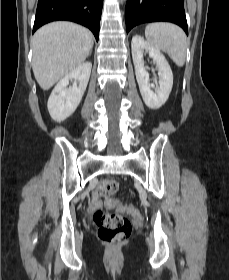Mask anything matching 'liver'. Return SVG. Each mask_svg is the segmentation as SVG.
I'll return each mask as SVG.
<instances>
[{
  "mask_svg": "<svg viewBox=\"0 0 229 280\" xmlns=\"http://www.w3.org/2000/svg\"><path fill=\"white\" fill-rule=\"evenodd\" d=\"M32 69L43 90L80 66L93 47L92 33L80 25L59 21L38 29L31 39Z\"/></svg>",
  "mask_w": 229,
  "mask_h": 280,
  "instance_id": "obj_1",
  "label": "liver"
}]
</instances>
